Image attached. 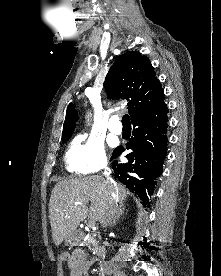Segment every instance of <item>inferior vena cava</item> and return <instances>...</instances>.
Segmentation results:
<instances>
[{"label": "inferior vena cava", "mask_w": 221, "mask_h": 276, "mask_svg": "<svg viewBox=\"0 0 221 276\" xmlns=\"http://www.w3.org/2000/svg\"><path fill=\"white\" fill-rule=\"evenodd\" d=\"M105 175L109 176V172L105 171ZM111 181V180H110ZM113 183V181H111ZM118 195L116 189L112 186L110 188L109 196L107 199V203L104 209V213L100 219L101 226L103 228L107 227L112 223L114 218L118 213Z\"/></svg>", "instance_id": "1"}]
</instances>
